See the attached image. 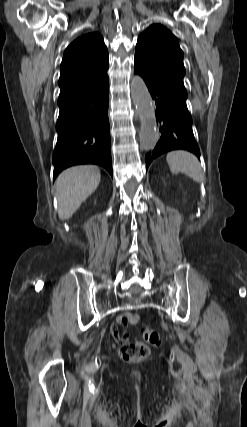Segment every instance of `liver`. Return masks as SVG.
<instances>
[{"label":"liver","instance_id":"6515ba94","mask_svg":"<svg viewBox=\"0 0 247 427\" xmlns=\"http://www.w3.org/2000/svg\"><path fill=\"white\" fill-rule=\"evenodd\" d=\"M97 166L81 165L64 170L56 179L58 216L69 219L80 205L97 189L100 182Z\"/></svg>","mask_w":247,"mask_h":427}]
</instances>
